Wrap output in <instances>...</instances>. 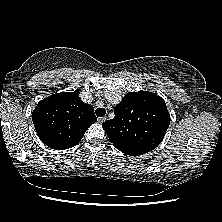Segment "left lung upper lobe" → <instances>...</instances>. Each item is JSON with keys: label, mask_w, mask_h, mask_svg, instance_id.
I'll use <instances>...</instances> for the list:
<instances>
[{"label": "left lung upper lobe", "mask_w": 222, "mask_h": 222, "mask_svg": "<svg viewBox=\"0 0 222 222\" xmlns=\"http://www.w3.org/2000/svg\"><path fill=\"white\" fill-rule=\"evenodd\" d=\"M115 117L102 124L116 148L155 149L170 124L165 101L148 91L130 92L114 107Z\"/></svg>", "instance_id": "1"}]
</instances>
